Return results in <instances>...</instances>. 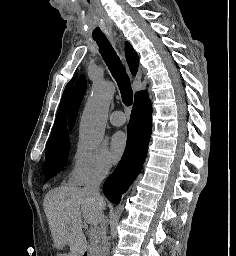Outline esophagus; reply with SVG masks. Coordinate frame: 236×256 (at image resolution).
<instances>
[{"instance_id":"esophagus-1","label":"esophagus","mask_w":236,"mask_h":256,"mask_svg":"<svg viewBox=\"0 0 236 256\" xmlns=\"http://www.w3.org/2000/svg\"><path fill=\"white\" fill-rule=\"evenodd\" d=\"M121 56L124 58V55H123V53H121Z\"/></svg>"}]
</instances>
